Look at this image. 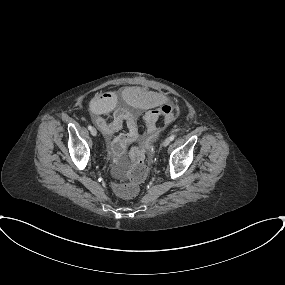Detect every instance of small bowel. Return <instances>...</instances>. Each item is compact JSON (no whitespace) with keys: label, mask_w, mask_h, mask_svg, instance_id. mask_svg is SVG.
I'll return each mask as SVG.
<instances>
[{"label":"small bowel","mask_w":285,"mask_h":285,"mask_svg":"<svg viewBox=\"0 0 285 285\" xmlns=\"http://www.w3.org/2000/svg\"><path fill=\"white\" fill-rule=\"evenodd\" d=\"M128 99L135 110L120 107L116 92L97 96L91 106L92 121L103 134L114 163L123 159L127 146L139 140L137 119L141 112L155 111L166 123L173 122L178 115V109L170 104L166 96L159 93L131 87L128 89ZM124 125L127 126V131L119 133ZM144 143L145 140H141V144ZM139 151V148L135 149L133 156L138 157Z\"/></svg>","instance_id":"small-bowel-1"}]
</instances>
